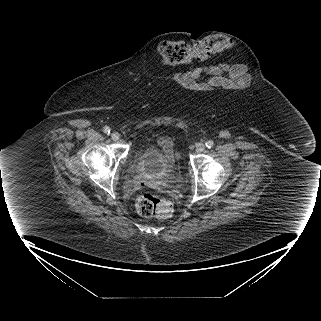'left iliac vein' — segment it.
Returning <instances> with one entry per match:
<instances>
[{
    "instance_id": "left-iliac-vein-1",
    "label": "left iliac vein",
    "mask_w": 321,
    "mask_h": 321,
    "mask_svg": "<svg viewBox=\"0 0 321 321\" xmlns=\"http://www.w3.org/2000/svg\"><path fill=\"white\" fill-rule=\"evenodd\" d=\"M205 149V145L203 143H198L196 145V152L200 153Z\"/></svg>"
}]
</instances>
